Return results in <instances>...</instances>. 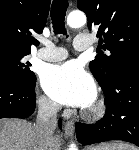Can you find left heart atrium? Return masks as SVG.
Masks as SVG:
<instances>
[{
    "mask_svg": "<svg viewBox=\"0 0 139 150\" xmlns=\"http://www.w3.org/2000/svg\"><path fill=\"white\" fill-rule=\"evenodd\" d=\"M45 92L56 102L89 107L96 98V86L92 77L76 62L47 67L41 76Z\"/></svg>",
    "mask_w": 139,
    "mask_h": 150,
    "instance_id": "left-heart-atrium-1",
    "label": "left heart atrium"
}]
</instances>
